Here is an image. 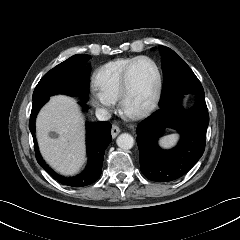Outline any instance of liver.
<instances>
[{"label": "liver", "mask_w": 240, "mask_h": 240, "mask_svg": "<svg viewBox=\"0 0 240 240\" xmlns=\"http://www.w3.org/2000/svg\"><path fill=\"white\" fill-rule=\"evenodd\" d=\"M51 132L58 137H51ZM36 135L42 156L57 172H78L85 156L84 120L73 98L51 97L37 117Z\"/></svg>", "instance_id": "obj_1"}]
</instances>
